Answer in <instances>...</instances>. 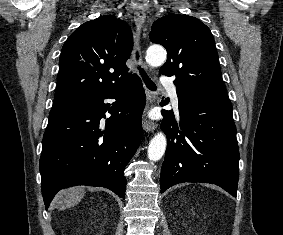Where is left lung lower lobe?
I'll return each instance as SVG.
<instances>
[{
	"label": "left lung lower lobe",
	"mask_w": 283,
	"mask_h": 235,
	"mask_svg": "<svg viewBox=\"0 0 283 235\" xmlns=\"http://www.w3.org/2000/svg\"><path fill=\"white\" fill-rule=\"evenodd\" d=\"M180 121L162 110L167 149L161 193L183 182L211 183L236 197L239 149L230 100H212L177 88ZM161 106L166 105L161 101Z\"/></svg>",
	"instance_id": "0a47b994"
}]
</instances>
